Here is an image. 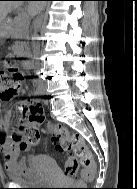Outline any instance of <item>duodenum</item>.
I'll list each match as a JSON object with an SVG mask.
<instances>
[{
  "mask_svg": "<svg viewBox=\"0 0 137 189\" xmlns=\"http://www.w3.org/2000/svg\"><path fill=\"white\" fill-rule=\"evenodd\" d=\"M9 25H10V20L7 21V26H9Z\"/></svg>",
  "mask_w": 137,
  "mask_h": 189,
  "instance_id": "1",
  "label": "duodenum"
}]
</instances>
